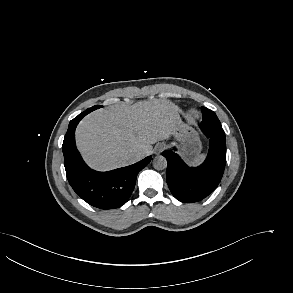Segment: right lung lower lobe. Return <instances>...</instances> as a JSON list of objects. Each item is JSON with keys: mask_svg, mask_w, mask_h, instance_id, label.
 I'll return each instance as SVG.
<instances>
[{"mask_svg": "<svg viewBox=\"0 0 293 293\" xmlns=\"http://www.w3.org/2000/svg\"><path fill=\"white\" fill-rule=\"evenodd\" d=\"M90 112H82L71 120L64 137L62 150L67 179L76 194L88 204L100 209L118 208L128 201L134 190L137 174L148 165L151 156L133 165L108 172L90 169L83 162L74 143L77 124Z\"/></svg>", "mask_w": 293, "mask_h": 293, "instance_id": "98d812e1", "label": "right lung lower lobe"}]
</instances>
